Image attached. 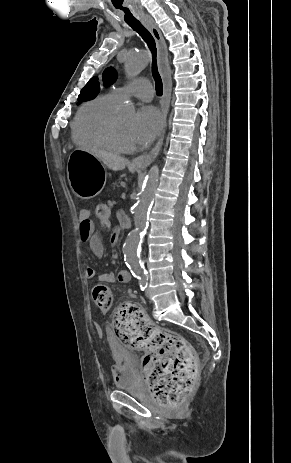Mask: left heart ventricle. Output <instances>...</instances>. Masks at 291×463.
Returning a JSON list of instances; mask_svg holds the SVG:
<instances>
[{
  "label": "left heart ventricle",
  "mask_w": 291,
  "mask_h": 463,
  "mask_svg": "<svg viewBox=\"0 0 291 463\" xmlns=\"http://www.w3.org/2000/svg\"><path fill=\"white\" fill-rule=\"evenodd\" d=\"M116 122L121 142L126 146H134L135 143L130 134L132 121L123 118H117Z\"/></svg>",
  "instance_id": "left-heart-ventricle-1"
}]
</instances>
